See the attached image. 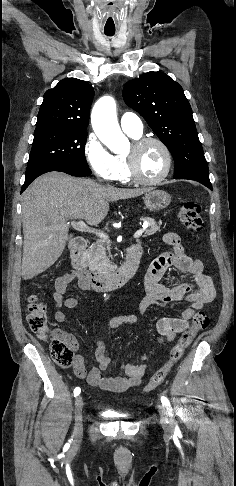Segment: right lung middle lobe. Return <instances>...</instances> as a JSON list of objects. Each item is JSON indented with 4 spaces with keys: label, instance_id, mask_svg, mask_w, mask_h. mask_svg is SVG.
Returning a JSON list of instances; mask_svg holds the SVG:
<instances>
[{
    "label": "right lung middle lobe",
    "instance_id": "obj_1",
    "mask_svg": "<svg viewBox=\"0 0 236 486\" xmlns=\"http://www.w3.org/2000/svg\"><path fill=\"white\" fill-rule=\"evenodd\" d=\"M86 130L36 128L27 165L50 162L88 167L85 158Z\"/></svg>",
    "mask_w": 236,
    "mask_h": 486
}]
</instances>
